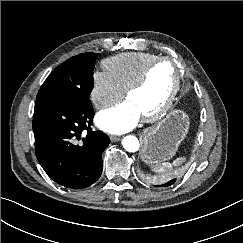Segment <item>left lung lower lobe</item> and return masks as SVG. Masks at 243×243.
Listing matches in <instances>:
<instances>
[{
  "label": "left lung lower lobe",
  "mask_w": 243,
  "mask_h": 243,
  "mask_svg": "<svg viewBox=\"0 0 243 243\" xmlns=\"http://www.w3.org/2000/svg\"><path fill=\"white\" fill-rule=\"evenodd\" d=\"M175 181H176V179H172V180H170L169 182L165 183V184L162 185V186H165V187L170 186V185H172Z\"/></svg>",
  "instance_id": "obj_1"
}]
</instances>
